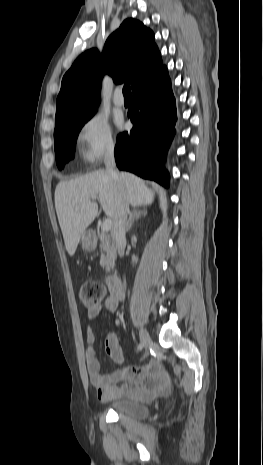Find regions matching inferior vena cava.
I'll return each mask as SVG.
<instances>
[{
  "label": "inferior vena cava",
  "mask_w": 263,
  "mask_h": 465,
  "mask_svg": "<svg viewBox=\"0 0 263 465\" xmlns=\"http://www.w3.org/2000/svg\"><path fill=\"white\" fill-rule=\"evenodd\" d=\"M104 161L107 173L112 177L118 187L117 208L113 217V237L118 255L123 257L126 245V223L129 214V203L122 189L118 172L115 169V158L112 148L107 150Z\"/></svg>",
  "instance_id": "602c4592"
}]
</instances>
